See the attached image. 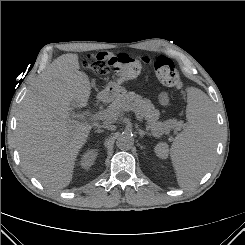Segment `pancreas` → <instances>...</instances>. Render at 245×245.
Returning <instances> with one entry per match:
<instances>
[{
  "label": "pancreas",
  "mask_w": 245,
  "mask_h": 245,
  "mask_svg": "<svg viewBox=\"0 0 245 245\" xmlns=\"http://www.w3.org/2000/svg\"><path fill=\"white\" fill-rule=\"evenodd\" d=\"M130 109H138L140 111L141 115L147 120V125L152 134L156 137L164 133L168 134L169 130L173 128L179 130L182 126V123L175 119L159 122V111L155 109L151 101L136 95L134 92H123L120 94L105 110L107 113L106 119L108 122H115L121 113Z\"/></svg>",
  "instance_id": "obj_1"
}]
</instances>
